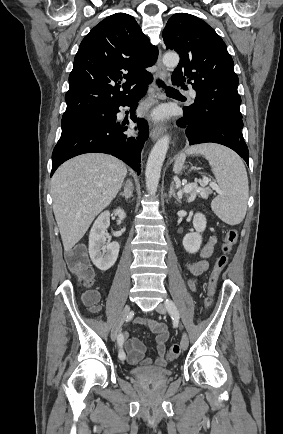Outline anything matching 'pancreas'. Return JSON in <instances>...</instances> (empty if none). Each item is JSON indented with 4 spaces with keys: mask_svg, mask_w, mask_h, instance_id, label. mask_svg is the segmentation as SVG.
Here are the masks:
<instances>
[{
    "mask_svg": "<svg viewBox=\"0 0 283 434\" xmlns=\"http://www.w3.org/2000/svg\"><path fill=\"white\" fill-rule=\"evenodd\" d=\"M212 193V190L208 187L202 186L195 188L193 195H199L203 199H207L209 194Z\"/></svg>",
    "mask_w": 283,
    "mask_h": 434,
    "instance_id": "obj_1",
    "label": "pancreas"
}]
</instances>
